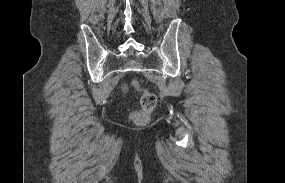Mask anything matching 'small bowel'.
Returning <instances> with one entry per match:
<instances>
[{"instance_id":"1","label":"small bowel","mask_w":285,"mask_h":183,"mask_svg":"<svg viewBox=\"0 0 285 183\" xmlns=\"http://www.w3.org/2000/svg\"><path fill=\"white\" fill-rule=\"evenodd\" d=\"M122 87H123V89H125L126 88L125 84H123Z\"/></svg>"}]
</instances>
